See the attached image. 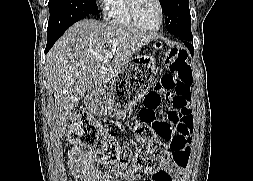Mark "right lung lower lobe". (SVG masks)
Listing matches in <instances>:
<instances>
[{
	"instance_id": "98d812e1",
	"label": "right lung lower lobe",
	"mask_w": 253,
	"mask_h": 181,
	"mask_svg": "<svg viewBox=\"0 0 253 181\" xmlns=\"http://www.w3.org/2000/svg\"><path fill=\"white\" fill-rule=\"evenodd\" d=\"M66 29H64L56 34H53V35H47L48 41H47L45 53H47L50 50V48L54 45L56 40L66 31Z\"/></svg>"
}]
</instances>
